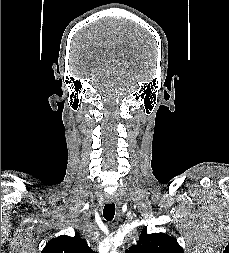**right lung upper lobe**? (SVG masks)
Here are the masks:
<instances>
[{
    "instance_id": "right-lung-upper-lobe-1",
    "label": "right lung upper lobe",
    "mask_w": 229,
    "mask_h": 253,
    "mask_svg": "<svg viewBox=\"0 0 229 253\" xmlns=\"http://www.w3.org/2000/svg\"><path fill=\"white\" fill-rule=\"evenodd\" d=\"M41 253H97L90 249L78 233L74 237L66 235L50 240Z\"/></svg>"
}]
</instances>
